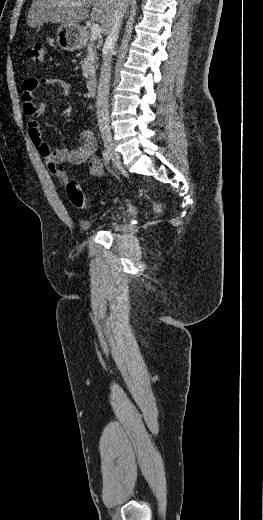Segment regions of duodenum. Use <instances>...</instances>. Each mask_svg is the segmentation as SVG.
Masks as SVG:
<instances>
[{
  "label": "duodenum",
  "mask_w": 263,
  "mask_h": 520,
  "mask_svg": "<svg viewBox=\"0 0 263 520\" xmlns=\"http://www.w3.org/2000/svg\"><path fill=\"white\" fill-rule=\"evenodd\" d=\"M87 91L90 96H95L97 93L98 80L96 76H90L86 83Z\"/></svg>",
  "instance_id": "obj_1"
}]
</instances>
